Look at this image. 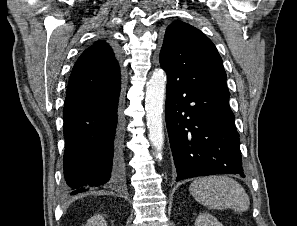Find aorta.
Here are the masks:
<instances>
[{"instance_id":"obj_1","label":"aorta","mask_w":297,"mask_h":226,"mask_svg":"<svg viewBox=\"0 0 297 226\" xmlns=\"http://www.w3.org/2000/svg\"><path fill=\"white\" fill-rule=\"evenodd\" d=\"M166 89V74L161 69H155L146 85L145 109L149 130L148 137L155 150L156 158L162 159L164 143L163 103Z\"/></svg>"}]
</instances>
